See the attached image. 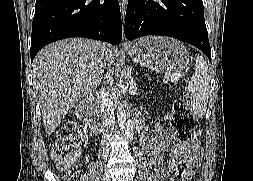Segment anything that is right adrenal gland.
Masks as SVG:
<instances>
[{
	"label": "right adrenal gland",
	"mask_w": 253,
	"mask_h": 181,
	"mask_svg": "<svg viewBox=\"0 0 253 181\" xmlns=\"http://www.w3.org/2000/svg\"><path fill=\"white\" fill-rule=\"evenodd\" d=\"M110 75H111V71L108 69V71H107V73L105 74L104 77H108V76H110Z\"/></svg>",
	"instance_id": "1"
}]
</instances>
